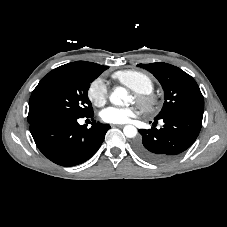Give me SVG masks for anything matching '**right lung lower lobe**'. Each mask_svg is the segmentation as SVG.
<instances>
[{
	"instance_id": "right-lung-lower-lobe-1",
	"label": "right lung lower lobe",
	"mask_w": 227,
	"mask_h": 227,
	"mask_svg": "<svg viewBox=\"0 0 227 227\" xmlns=\"http://www.w3.org/2000/svg\"><path fill=\"white\" fill-rule=\"evenodd\" d=\"M92 116L93 113L85 117ZM77 120L78 117L45 116L29 122L37 147L52 162L61 166L85 162L99 149L110 128L94 121L88 129Z\"/></svg>"
}]
</instances>
